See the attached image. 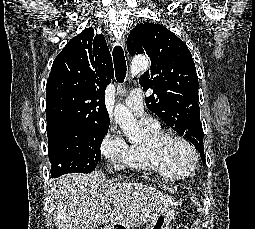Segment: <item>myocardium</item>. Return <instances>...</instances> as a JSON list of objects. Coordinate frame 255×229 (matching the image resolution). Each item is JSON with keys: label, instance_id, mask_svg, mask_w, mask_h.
<instances>
[{"label": "myocardium", "instance_id": "myocardium-1", "mask_svg": "<svg viewBox=\"0 0 255 229\" xmlns=\"http://www.w3.org/2000/svg\"><path fill=\"white\" fill-rule=\"evenodd\" d=\"M171 143H178L184 146L191 154V158L184 164H178L171 159L166 147ZM154 152L173 168H189L194 170L199 161V154L196 148L185 138L173 134H161L151 141Z\"/></svg>", "mask_w": 255, "mask_h": 229}]
</instances>
